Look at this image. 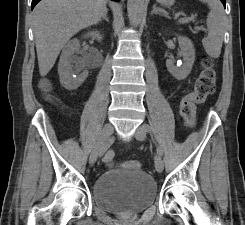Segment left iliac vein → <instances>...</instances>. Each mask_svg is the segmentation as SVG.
I'll list each match as a JSON object with an SVG mask.
<instances>
[{
  "instance_id": "1",
  "label": "left iliac vein",
  "mask_w": 245,
  "mask_h": 225,
  "mask_svg": "<svg viewBox=\"0 0 245 225\" xmlns=\"http://www.w3.org/2000/svg\"><path fill=\"white\" fill-rule=\"evenodd\" d=\"M135 138L138 141H144L146 138V131L142 126H139L134 134ZM155 169L157 172L161 173L164 169V163L163 160L161 159V157L159 155L156 156L155 158Z\"/></svg>"
}]
</instances>
